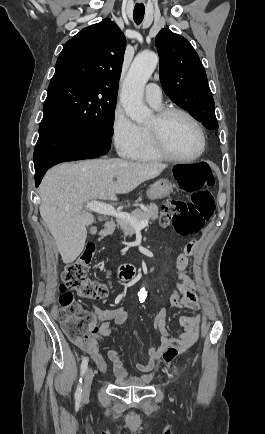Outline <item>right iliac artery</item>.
I'll use <instances>...</instances> for the list:
<instances>
[{
	"label": "right iliac artery",
	"instance_id": "right-iliac-artery-1",
	"mask_svg": "<svg viewBox=\"0 0 265 434\" xmlns=\"http://www.w3.org/2000/svg\"><path fill=\"white\" fill-rule=\"evenodd\" d=\"M88 366V358L85 357L81 363V378L79 379V384L77 386V390L75 393V399L76 401L80 402L81 400V394H82V377L85 374Z\"/></svg>",
	"mask_w": 265,
	"mask_h": 434
}]
</instances>
